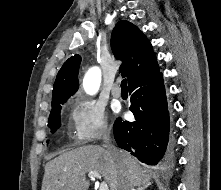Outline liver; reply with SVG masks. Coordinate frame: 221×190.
I'll list each match as a JSON object with an SVG mask.
<instances>
[{
	"label": "liver",
	"mask_w": 221,
	"mask_h": 190,
	"mask_svg": "<svg viewBox=\"0 0 221 190\" xmlns=\"http://www.w3.org/2000/svg\"><path fill=\"white\" fill-rule=\"evenodd\" d=\"M119 152L120 162L107 149L97 145L66 151L46 164L41 190H88L86 174L91 171L100 173L110 190H119L124 175L132 190L151 184L150 176L140 167L139 161L130 153Z\"/></svg>",
	"instance_id": "1"
}]
</instances>
